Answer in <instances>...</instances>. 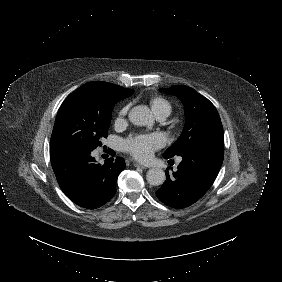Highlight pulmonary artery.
<instances>
[{
  "label": "pulmonary artery",
  "instance_id": "pulmonary-artery-1",
  "mask_svg": "<svg viewBox=\"0 0 282 282\" xmlns=\"http://www.w3.org/2000/svg\"><path fill=\"white\" fill-rule=\"evenodd\" d=\"M167 116H168V114H163V115H160V116H157V117H158V119L163 120V119H165Z\"/></svg>",
  "mask_w": 282,
  "mask_h": 282
}]
</instances>
